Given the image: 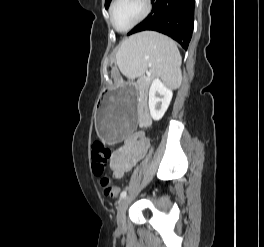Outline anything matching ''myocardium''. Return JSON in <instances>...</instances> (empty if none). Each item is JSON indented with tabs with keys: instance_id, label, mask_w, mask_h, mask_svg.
<instances>
[{
	"instance_id": "myocardium-1",
	"label": "myocardium",
	"mask_w": 264,
	"mask_h": 247,
	"mask_svg": "<svg viewBox=\"0 0 264 247\" xmlns=\"http://www.w3.org/2000/svg\"><path fill=\"white\" fill-rule=\"evenodd\" d=\"M118 1L119 0H113L111 3V6L109 8V20H110V24L112 25V27L116 31L121 32V33L130 31L131 29H133L134 27L139 25L141 22H143L148 17V15L150 14V12L152 10V1L151 0H143L144 10H143L142 14L140 15V17L135 22H133L130 26H128L124 29H120L115 25L114 19H113L114 8H115L116 4L118 3Z\"/></svg>"
}]
</instances>
